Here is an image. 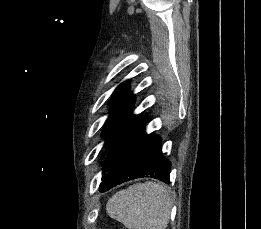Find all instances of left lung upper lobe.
Masks as SVG:
<instances>
[{"label":"left lung upper lobe","instance_id":"5c2ea615","mask_svg":"<svg viewBox=\"0 0 261 229\" xmlns=\"http://www.w3.org/2000/svg\"><path fill=\"white\" fill-rule=\"evenodd\" d=\"M134 98L129 94V85L122 83L114 92L111 105L113 109L103 127L102 135L106 137L105 145L111 148L120 136L140 115L131 114Z\"/></svg>","mask_w":261,"mask_h":229}]
</instances>
